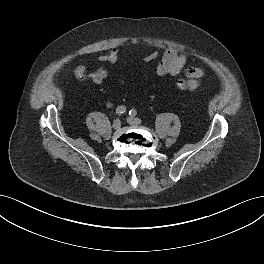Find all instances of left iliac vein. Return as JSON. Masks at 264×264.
Returning a JSON list of instances; mask_svg holds the SVG:
<instances>
[{
  "mask_svg": "<svg viewBox=\"0 0 264 264\" xmlns=\"http://www.w3.org/2000/svg\"><path fill=\"white\" fill-rule=\"evenodd\" d=\"M127 122L130 125H139L141 123V120L139 118H135V117H128Z\"/></svg>",
  "mask_w": 264,
  "mask_h": 264,
  "instance_id": "1",
  "label": "left iliac vein"
}]
</instances>
